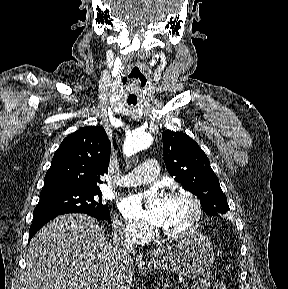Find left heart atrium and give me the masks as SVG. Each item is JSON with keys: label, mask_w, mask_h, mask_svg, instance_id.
I'll return each instance as SVG.
<instances>
[{"label": "left heart atrium", "mask_w": 288, "mask_h": 289, "mask_svg": "<svg viewBox=\"0 0 288 289\" xmlns=\"http://www.w3.org/2000/svg\"><path fill=\"white\" fill-rule=\"evenodd\" d=\"M120 209L126 217L158 226L163 222L164 198L151 189L125 198Z\"/></svg>", "instance_id": "1"}]
</instances>
